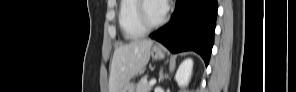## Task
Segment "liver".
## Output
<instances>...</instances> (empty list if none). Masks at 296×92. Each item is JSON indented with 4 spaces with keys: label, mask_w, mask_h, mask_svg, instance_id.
Wrapping results in <instances>:
<instances>
[{
    "label": "liver",
    "mask_w": 296,
    "mask_h": 92,
    "mask_svg": "<svg viewBox=\"0 0 296 92\" xmlns=\"http://www.w3.org/2000/svg\"><path fill=\"white\" fill-rule=\"evenodd\" d=\"M152 45L151 40L136 39L115 49L109 77V92H120L130 79L147 65Z\"/></svg>",
    "instance_id": "obj_1"
}]
</instances>
